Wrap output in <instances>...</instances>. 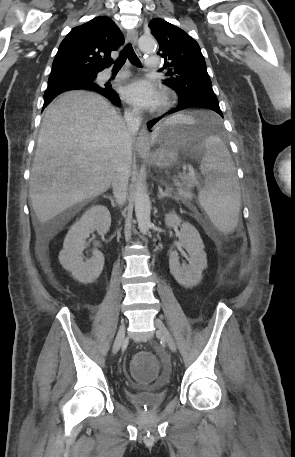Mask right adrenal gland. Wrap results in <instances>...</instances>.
<instances>
[{
    "mask_svg": "<svg viewBox=\"0 0 295 457\" xmlns=\"http://www.w3.org/2000/svg\"><path fill=\"white\" fill-rule=\"evenodd\" d=\"M104 197L110 200L112 207L116 206V203L111 195H105Z\"/></svg>",
    "mask_w": 295,
    "mask_h": 457,
    "instance_id": "obj_1",
    "label": "right adrenal gland"
}]
</instances>
